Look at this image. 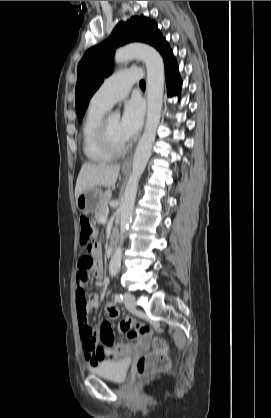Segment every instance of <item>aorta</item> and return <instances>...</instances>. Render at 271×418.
<instances>
[{"label": "aorta", "instance_id": "obj_1", "mask_svg": "<svg viewBox=\"0 0 271 418\" xmlns=\"http://www.w3.org/2000/svg\"><path fill=\"white\" fill-rule=\"evenodd\" d=\"M141 59L147 69V117L144 132L137 145L132 164V173L126 185L120 213V241L109 264L111 275L118 273L122 258V245L125 233L133 216L138 183L149 161L156 130L160 122L164 93V63L161 55L153 47L144 44H131L116 51L114 61L123 63L129 59ZM112 117L120 118L115 112Z\"/></svg>", "mask_w": 271, "mask_h": 418}]
</instances>
